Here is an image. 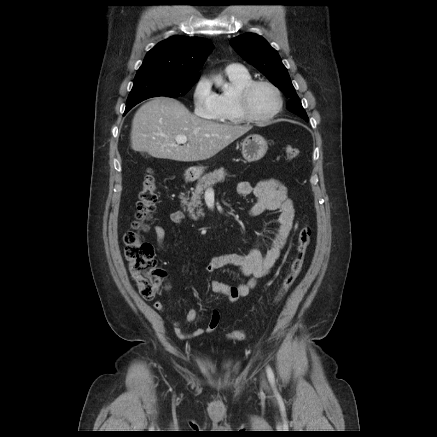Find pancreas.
I'll return each mask as SVG.
<instances>
[{
	"label": "pancreas",
	"instance_id": "cf45deb5",
	"mask_svg": "<svg viewBox=\"0 0 437 437\" xmlns=\"http://www.w3.org/2000/svg\"><path fill=\"white\" fill-rule=\"evenodd\" d=\"M226 172L224 168H220L218 170H214L208 174H205L201 178L198 179V182L195 186V190L192 192V197H182V204L184 209H187L189 212V216L197 220L199 217H204L201 196L204 194V191L207 188L213 186L218 182H223L225 180Z\"/></svg>",
	"mask_w": 437,
	"mask_h": 437
}]
</instances>
